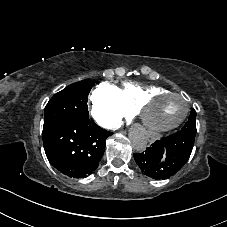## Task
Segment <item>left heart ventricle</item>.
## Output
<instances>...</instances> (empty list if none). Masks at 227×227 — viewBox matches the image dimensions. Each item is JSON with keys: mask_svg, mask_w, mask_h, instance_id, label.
<instances>
[{"mask_svg": "<svg viewBox=\"0 0 227 227\" xmlns=\"http://www.w3.org/2000/svg\"><path fill=\"white\" fill-rule=\"evenodd\" d=\"M185 100L180 96H162L150 103L143 115L148 125L167 127L176 122L184 113Z\"/></svg>", "mask_w": 227, "mask_h": 227, "instance_id": "obj_1", "label": "left heart ventricle"}]
</instances>
